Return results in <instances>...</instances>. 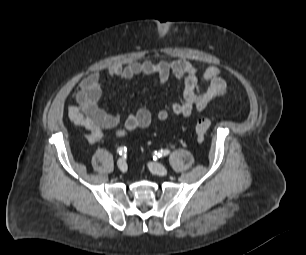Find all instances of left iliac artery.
<instances>
[{
	"label": "left iliac artery",
	"mask_w": 306,
	"mask_h": 255,
	"mask_svg": "<svg viewBox=\"0 0 306 255\" xmlns=\"http://www.w3.org/2000/svg\"><path fill=\"white\" fill-rule=\"evenodd\" d=\"M170 153L168 149H161L160 151H155L154 152V159L160 158L162 156H167Z\"/></svg>",
	"instance_id": "44dca946"
}]
</instances>
